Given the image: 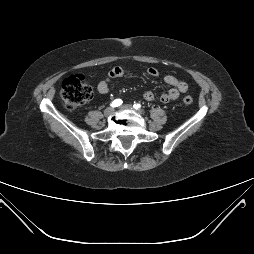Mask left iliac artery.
<instances>
[{
    "label": "left iliac artery",
    "mask_w": 254,
    "mask_h": 254,
    "mask_svg": "<svg viewBox=\"0 0 254 254\" xmlns=\"http://www.w3.org/2000/svg\"><path fill=\"white\" fill-rule=\"evenodd\" d=\"M133 107L138 110L141 108V105L139 103H136L133 105Z\"/></svg>",
    "instance_id": "left-iliac-artery-1"
}]
</instances>
